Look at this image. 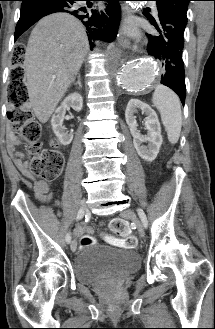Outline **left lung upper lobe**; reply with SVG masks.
Instances as JSON below:
<instances>
[{"mask_svg":"<svg viewBox=\"0 0 215 329\" xmlns=\"http://www.w3.org/2000/svg\"><path fill=\"white\" fill-rule=\"evenodd\" d=\"M157 7L173 14L182 22L187 24V8L191 0H154Z\"/></svg>","mask_w":215,"mask_h":329,"instance_id":"left-lung-upper-lobe-1","label":"left lung upper lobe"}]
</instances>
